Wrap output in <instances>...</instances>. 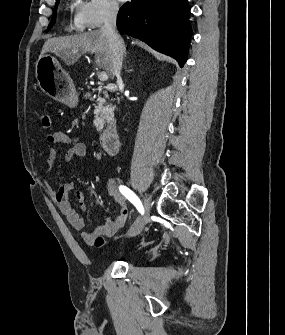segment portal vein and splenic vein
I'll use <instances>...</instances> for the list:
<instances>
[{
    "label": "portal vein and splenic vein",
    "mask_w": 285,
    "mask_h": 335,
    "mask_svg": "<svg viewBox=\"0 0 285 335\" xmlns=\"http://www.w3.org/2000/svg\"><path fill=\"white\" fill-rule=\"evenodd\" d=\"M98 80H100V82H106V80H108L106 72H101V74H98Z\"/></svg>",
    "instance_id": "1"
}]
</instances>
